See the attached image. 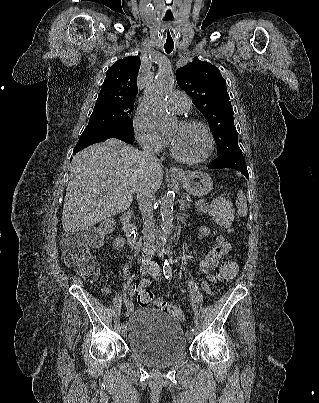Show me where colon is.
Here are the masks:
<instances>
[{
    "mask_svg": "<svg viewBox=\"0 0 319 403\" xmlns=\"http://www.w3.org/2000/svg\"><path fill=\"white\" fill-rule=\"evenodd\" d=\"M211 214L218 224L230 227L233 221V212L225 197H218L211 202ZM112 224L107 222L100 227L89 228L82 231L67 233L61 241V250L64 262L72 267L81 277L94 281L99 276V265L89 254L90 246L101 244L104 235L110 232ZM237 263L228 261L221 267L220 278L223 281L231 280L237 273ZM154 295L150 290H141L137 295V302L141 307L152 304ZM157 307L161 311L169 313L180 322H185V314L178 305L164 300L157 301Z\"/></svg>",
    "mask_w": 319,
    "mask_h": 403,
    "instance_id": "obj_1",
    "label": "colon"
}]
</instances>
